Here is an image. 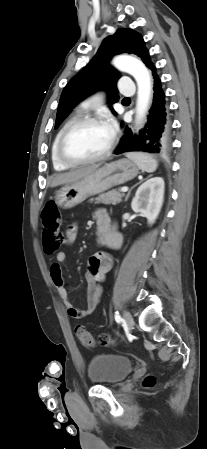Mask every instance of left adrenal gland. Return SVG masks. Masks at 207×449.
Listing matches in <instances>:
<instances>
[{
  "mask_svg": "<svg viewBox=\"0 0 207 449\" xmlns=\"http://www.w3.org/2000/svg\"><path fill=\"white\" fill-rule=\"evenodd\" d=\"M138 184H139V183L135 184V185L128 191V193H127V195H126V197H125V201L128 200V198H129V196H130V194H131L132 189H133L135 186H137Z\"/></svg>",
  "mask_w": 207,
  "mask_h": 449,
  "instance_id": "1",
  "label": "left adrenal gland"
}]
</instances>
